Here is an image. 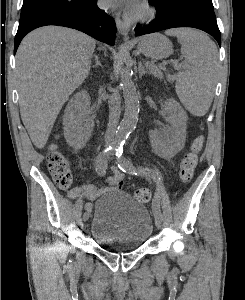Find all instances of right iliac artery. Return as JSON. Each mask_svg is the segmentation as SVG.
<instances>
[{
    "label": "right iliac artery",
    "instance_id": "obj_1",
    "mask_svg": "<svg viewBox=\"0 0 245 300\" xmlns=\"http://www.w3.org/2000/svg\"><path fill=\"white\" fill-rule=\"evenodd\" d=\"M114 148L109 146L105 150H103L97 157L96 159V172L100 175L103 176L106 173L107 166H108V158L109 155L111 154V151ZM91 203H86L85 204V209L91 207Z\"/></svg>",
    "mask_w": 245,
    "mask_h": 300
}]
</instances>
